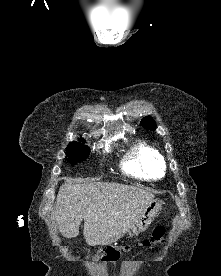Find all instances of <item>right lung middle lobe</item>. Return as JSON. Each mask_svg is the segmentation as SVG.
I'll use <instances>...</instances> for the list:
<instances>
[{
	"label": "right lung middle lobe",
	"instance_id": "dd1d6c3e",
	"mask_svg": "<svg viewBox=\"0 0 221 276\" xmlns=\"http://www.w3.org/2000/svg\"><path fill=\"white\" fill-rule=\"evenodd\" d=\"M68 158L67 161L70 162L72 165H75L79 161L85 160L90 150L88 146L84 145L83 143H70L66 148Z\"/></svg>",
	"mask_w": 221,
	"mask_h": 276
}]
</instances>
